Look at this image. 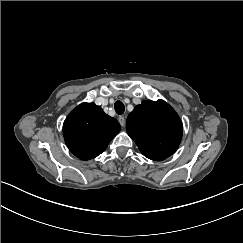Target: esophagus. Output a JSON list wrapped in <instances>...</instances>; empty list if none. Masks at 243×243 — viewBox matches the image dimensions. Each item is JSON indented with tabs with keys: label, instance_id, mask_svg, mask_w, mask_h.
Here are the masks:
<instances>
[{
	"label": "esophagus",
	"instance_id": "obj_1",
	"mask_svg": "<svg viewBox=\"0 0 243 243\" xmlns=\"http://www.w3.org/2000/svg\"><path fill=\"white\" fill-rule=\"evenodd\" d=\"M118 121L122 127L125 125V118L123 116H119Z\"/></svg>",
	"mask_w": 243,
	"mask_h": 243
}]
</instances>
